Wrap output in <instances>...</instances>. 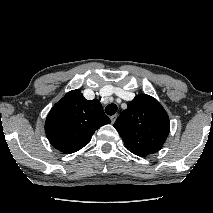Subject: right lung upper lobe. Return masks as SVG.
Returning <instances> with one entry per match:
<instances>
[{
	"mask_svg": "<svg viewBox=\"0 0 213 213\" xmlns=\"http://www.w3.org/2000/svg\"><path fill=\"white\" fill-rule=\"evenodd\" d=\"M110 123L97 99L86 100L79 90L68 92L50 110L45 132L52 146L71 154L86 146L95 130Z\"/></svg>",
	"mask_w": 213,
	"mask_h": 213,
	"instance_id": "obj_1",
	"label": "right lung upper lobe"
}]
</instances>
